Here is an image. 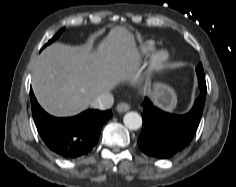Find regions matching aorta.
Returning a JSON list of instances; mask_svg holds the SVG:
<instances>
[{"instance_id":"obj_1","label":"aorta","mask_w":236,"mask_h":187,"mask_svg":"<svg viewBox=\"0 0 236 187\" xmlns=\"http://www.w3.org/2000/svg\"><path fill=\"white\" fill-rule=\"evenodd\" d=\"M124 125L130 130H137L142 126V117L137 112H128L123 118Z\"/></svg>"}]
</instances>
